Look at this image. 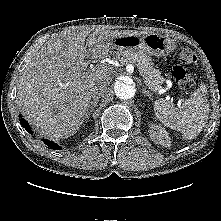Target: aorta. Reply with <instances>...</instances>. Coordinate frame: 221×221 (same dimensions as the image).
<instances>
[{
  "label": "aorta",
  "mask_w": 221,
  "mask_h": 221,
  "mask_svg": "<svg viewBox=\"0 0 221 221\" xmlns=\"http://www.w3.org/2000/svg\"><path fill=\"white\" fill-rule=\"evenodd\" d=\"M114 92L119 99H130L135 95L136 88L124 81L117 80L114 83Z\"/></svg>",
  "instance_id": "1"
}]
</instances>
